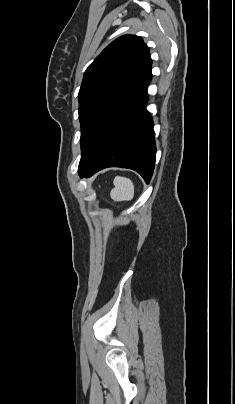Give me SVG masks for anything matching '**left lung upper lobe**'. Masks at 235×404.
I'll list each match as a JSON object with an SVG mask.
<instances>
[{
    "label": "left lung upper lobe",
    "instance_id": "left-lung-upper-lobe-1",
    "mask_svg": "<svg viewBox=\"0 0 235 404\" xmlns=\"http://www.w3.org/2000/svg\"><path fill=\"white\" fill-rule=\"evenodd\" d=\"M149 48L124 35L110 43L86 69L78 94L82 154L117 108L151 76Z\"/></svg>",
    "mask_w": 235,
    "mask_h": 404
}]
</instances>
